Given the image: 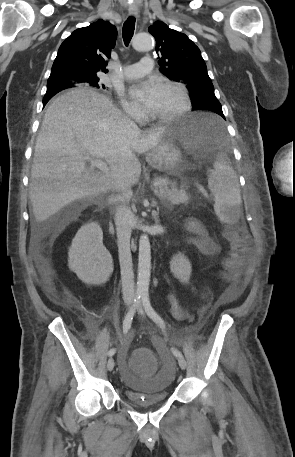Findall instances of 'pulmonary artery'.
Returning <instances> with one entry per match:
<instances>
[{
  "label": "pulmonary artery",
  "instance_id": "pulmonary-artery-1",
  "mask_svg": "<svg viewBox=\"0 0 295 457\" xmlns=\"http://www.w3.org/2000/svg\"><path fill=\"white\" fill-rule=\"evenodd\" d=\"M153 66V59L150 56H145L138 63L122 67L121 75L125 79H134L149 73Z\"/></svg>",
  "mask_w": 295,
  "mask_h": 457
}]
</instances>
